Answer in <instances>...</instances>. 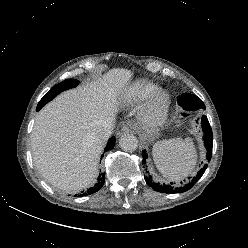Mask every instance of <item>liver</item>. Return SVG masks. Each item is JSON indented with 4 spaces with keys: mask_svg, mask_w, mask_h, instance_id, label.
I'll use <instances>...</instances> for the list:
<instances>
[{
    "mask_svg": "<svg viewBox=\"0 0 248 248\" xmlns=\"http://www.w3.org/2000/svg\"><path fill=\"white\" fill-rule=\"evenodd\" d=\"M131 76L130 70L111 69L60 94L38 113L31 134L33 161L53 187L77 193L94 182L105 142H95L92 134L106 119L115 120Z\"/></svg>",
    "mask_w": 248,
    "mask_h": 248,
    "instance_id": "obj_1",
    "label": "liver"
}]
</instances>
